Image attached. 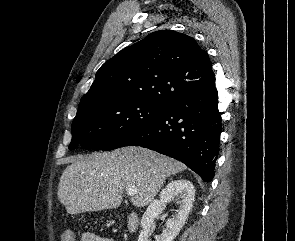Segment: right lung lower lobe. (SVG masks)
Wrapping results in <instances>:
<instances>
[{"label":"right lung lower lobe","instance_id":"1","mask_svg":"<svg viewBox=\"0 0 295 241\" xmlns=\"http://www.w3.org/2000/svg\"><path fill=\"white\" fill-rule=\"evenodd\" d=\"M218 92L211 87L179 96L160 114L120 143L141 146L175 158L210 182L219 152L221 117Z\"/></svg>","mask_w":295,"mask_h":241}]
</instances>
